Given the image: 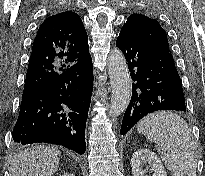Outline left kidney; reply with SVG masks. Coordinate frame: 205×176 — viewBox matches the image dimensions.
Masks as SVG:
<instances>
[{
	"mask_svg": "<svg viewBox=\"0 0 205 176\" xmlns=\"http://www.w3.org/2000/svg\"><path fill=\"white\" fill-rule=\"evenodd\" d=\"M147 164L150 167V173L152 175H148L147 170L144 169ZM131 167L133 176H167L159 157L146 148L138 149L133 153Z\"/></svg>",
	"mask_w": 205,
	"mask_h": 176,
	"instance_id": "1",
	"label": "left kidney"
}]
</instances>
